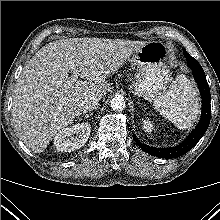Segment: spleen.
<instances>
[{
	"mask_svg": "<svg viewBox=\"0 0 220 220\" xmlns=\"http://www.w3.org/2000/svg\"><path fill=\"white\" fill-rule=\"evenodd\" d=\"M154 108L179 129L193 126L200 113L197 90L185 75H178L168 91L157 98Z\"/></svg>",
	"mask_w": 220,
	"mask_h": 220,
	"instance_id": "3e777b00",
	"label": "spleen"
}]
</instances>
